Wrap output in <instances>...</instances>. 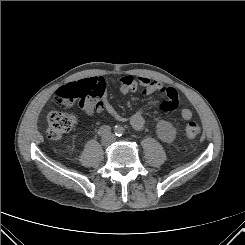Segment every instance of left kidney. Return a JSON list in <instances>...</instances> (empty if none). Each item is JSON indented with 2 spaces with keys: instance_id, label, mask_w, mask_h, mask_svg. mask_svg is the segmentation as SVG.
<instances>
[{
  "instance_id": "5707ae66",
  "label": "left kidney",
  "mask_w": 245,
  "mask_h": 245,
  "mask_svg": "<svg viewBox=\"0 0 245 245\" xmlns=\"http://www.w3.org/2000/svg\"><path fill=\"white\" fill-rule=\"evenodd\" d=\"M160 134L166 139V140H173L176 135V130L172 127L171 124L167 122H162L159 125Z\"/></svg>"
}]
</instances>
